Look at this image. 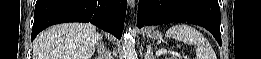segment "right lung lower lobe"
<instances>
[{
    "mask_svg": "<svg viewBox=\"0 0 261 59\" xmlns=\"http://www.w3.org/2000/svg\"><path fill=\"white\" fill-rule=\"evenodd\" d=\"M127 0H37L31 40L43 29L64 22H90L121 38Z\"/></svg>",
    "mask_w": 261,
    "mask_h": 59,
    "instance_id": "right-lung-lower-lobe-1",
    "label": "right lung lower lobe"
}]
</instances>
